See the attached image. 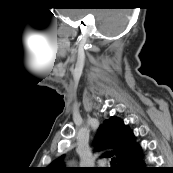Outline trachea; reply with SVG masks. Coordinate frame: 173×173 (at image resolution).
Returning a JSON list of instances; mask_svg holds the SVG:
<instances>
[{
    "label": "trachea",
    "mask_w": 173,
    "mask_h": 173,
    "mask_svg": "<svg viewBox=\"0 0 173 173\" xmlns=\"http://www.w3.org/2000/svg\"><path fill=\"white\" fill-rule=\"evenodd\" d=\"M111 165H112L113 167L115 166V160H114V158L111 159ZM113 167H112V168H113Z\"/></svg>",
    "instance_id": "3493384b"
}]
</instances>
